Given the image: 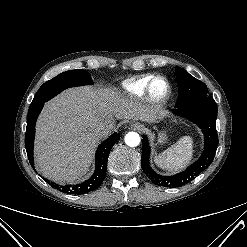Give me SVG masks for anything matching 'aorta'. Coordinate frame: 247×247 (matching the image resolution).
Here are the masks:
<instances>
[{"instance_id": "obj_1", "label": "aorta", "mask_w": 247, "mask_h": 247, "mask_svg": "<svg viewBox=\"0 0 247 247\" xmlns=\"http://www.w3.org/2000/svg\"><path fill=\"white\" fill-rule=\"evenodd\" d=\"M124 140H125L126 145L130 147H136L140 143V136L136 132H129L126 134Z\"/></svg>"}]
</instances>
